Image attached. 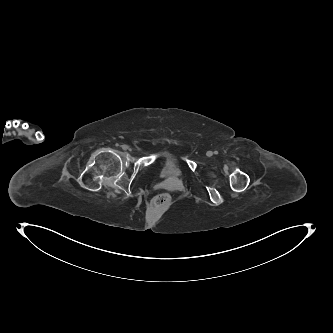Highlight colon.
Returning a JSON list of instances; mask_svg holds the SVG:
<instances>
[{
    "instance_id": "obj_1",
    "label": "colon",
    "mask_w": 333,
    "mask_h": 333,
    "mask_svg": "<svg viewBox=\"0 0 333 333\" xmlns=\"http://www.w3.org/2000/svg\"><path fill=\"white\" fill-rule=\"evenodd\" d=\"M151 205L156 210H166L171 205V196L169 193L163 192L157 194L152 202Z\"/></svg>"
}]
</instances>
